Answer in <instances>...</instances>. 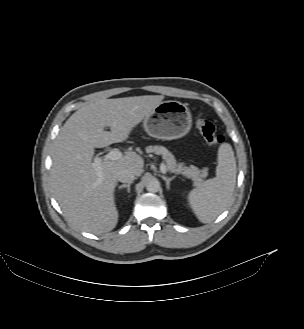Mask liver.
<instances>
[{"instance_id":"liver-1","label":"liver","mask_w":304,"mask_h":329,"mask_svg":"<svg viewBox=\"0 0 304 329\" xmlns=\"http://www.w3.org/2000/svg\"><path fill=\"white\" fill-rule=\"evenodd\" d=\"M163 99V95L99 99L66 121L54 142L50 175L54 196L73 225L93 234L115 228L117 174L129 169L140 176L144 160L135 152L103 160L99 177L93 167L94 149L125 141ZM107 126L110 131L104 130Z\"/></svg>"}]
</instances>
